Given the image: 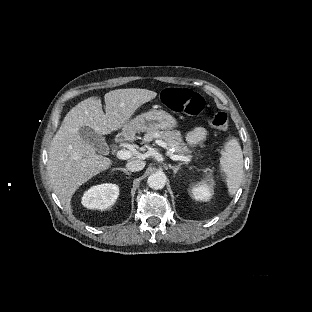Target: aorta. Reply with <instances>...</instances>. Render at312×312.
Listing matches in <instances>:
<instances>
[{
  "label": "aorta",
  "mask_w": 312,
  "mask_h": 312,
  "mask_svg": "<svg viewBox=\"0 0 312 312\" xmlns=\"http://www.w3.org/2000/svg\"><path fill=\"white\" fill-rule=\"evenodd\" d=\"M166 179V175L163 172H156L148 177L147 183L150 188L158 190L165 186Z\"/></svg>",
  "instance_id": "aorta-1"
}]
</instances>
